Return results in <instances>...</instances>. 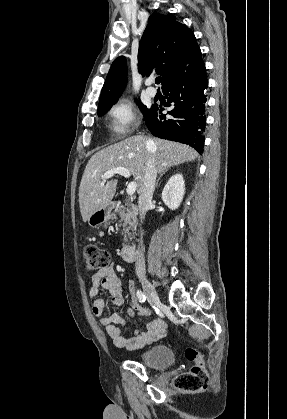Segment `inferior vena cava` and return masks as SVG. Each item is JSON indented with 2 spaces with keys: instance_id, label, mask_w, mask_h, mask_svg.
Wrapping results in <instances>:
<instances>
[{
  "instance_id": "602c4592",
  "label": "inferior vena cava",
  "mask_w": 287,
  "mask_h": 419,
  "mask_svg": "<svg viewBox=\"0 0 287 419\" xmlns=\"http://www.w3.org/2000/svg\"><path fill=\"white\" fill-rule=\"evenodd\" d=\"M153 144L154 142L151 138H149L146 142L148 149H150L153 146ZM156 176L157 169L155 157L153 155H150L146 164L143 185L139 192L138 199V208L141 222L142 220H144L146 212L152 201L153 193L155 190ZM135 271L138 276L145 275V260L142 252L137 257L135 263Z\"/></svg>"
}]
</instances>
